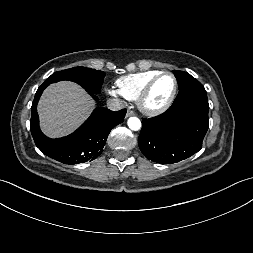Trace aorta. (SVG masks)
Segmentation results:
<instances>
[{
  "label": "aorta",
  "mask_w": 253,
  "mask_h": 253,
  "mask_svg": "<svg viewBox=\"0 0 253 253\" xmlns=\"http://www.w3.org/2000/svg\"><path fill=\"white\" fill-rule=\"evenodd\" d=\"M128 127L131 129V130H134V131H137L141 128V121L139 118L137 117H130L128 119Z\"/></svg>",
  "instance_id": "obj_1"
}]
</instances>
